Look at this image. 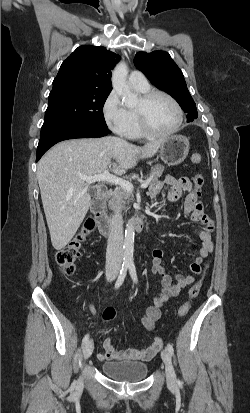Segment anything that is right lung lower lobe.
<instances>
[{
	"instance_id": "1",
	"label": "right lung lower lobe",
	"mask_w": 250,
	"mask_h": 413,
	"mask_svg": "<svg viewBox=\"0 0 250 413\" xmlns=\"http://www.w3.org/2000/svg\"><path fill=\"white\" fill-rule=\"evenodd\" d=\"M110 133L111 131L108 128L88 125H75L61 128L44 137H40L37 147L36 162L50 147H52L57 142L75 138L103 137Z\"/></svg>"
}]
</instances>
